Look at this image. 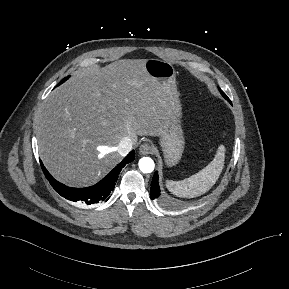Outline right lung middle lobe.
Returning <instances> with one entry per match:
<instances>
[{"label":"right lung middle lobe","mask_w":289,"mask_h":289,"mask_svg":"<svg viewBox=\"0 0 289 289\" xmlns=\"http://www.w3.org/2000/svg\"><path fill=\"white\" fill-rule=\"evenodd\" d=\"M67 80V78H64L58 85H60V84H62L64 81H66ZM57 85V86H58Z\"/></svg>","instance_id":"obj_1"}]
</instances>
